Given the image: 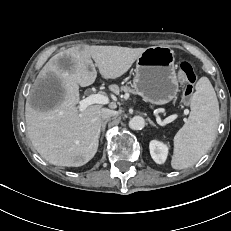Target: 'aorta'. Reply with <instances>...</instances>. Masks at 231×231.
<instances>
[{"label":"aorta","mask_w":231,"mask_h":231,"mask_svg":"<svg viewBox=\"0 0 231 231\" xmlns=\"http://www.w3.org/2000/svg\"><path fill=\"white\" fill-rule=\"evenodd\" d=\"M145 126V120L141 116H134L129 121V127L133 130H141Z\"/></svg>","instance_id":"obj_1"}]
</instances>
